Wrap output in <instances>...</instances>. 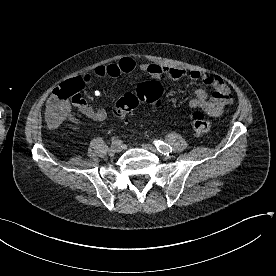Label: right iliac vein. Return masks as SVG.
<instances>
[{"label": "right iliac vein", "instance_id": "63e3f726", "mask_svg": "<svg viewBox=\"0 0 276 276\" xmlns=\"http://www.w3.org/2000/svg\"><path fill=\"white\" fill-rule=\"evenodd\" d=\"M123 147L122 146H112L110 149H109V153L110 154H114L116 152H120L122 151Z\"/></svg>", "mask_w": 276, "mask_h": 276}]
</instances>
